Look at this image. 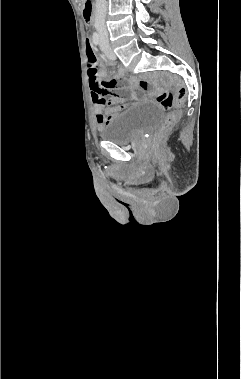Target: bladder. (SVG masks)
<instances>
[{"label":"bladder","mask_w":241,"mask_h":379,"mask_svg":"<svg viewBox=\"0 0 241 379\" xmlns=\"http://www.w3.org/2000/svg\"><path fill=\"white\" fill-rule=\"evenodd\" d=\"M162 119V111L154 104H134L113 116L100 129V137L106 141L125 145L155 128Z\"/></svg>","instance_id":"obj_1"}]
</instances>
